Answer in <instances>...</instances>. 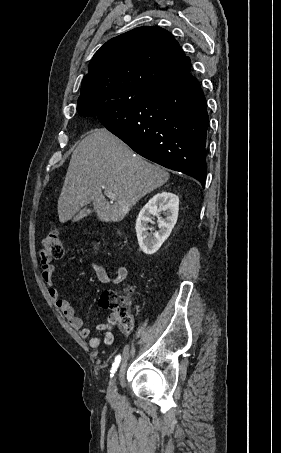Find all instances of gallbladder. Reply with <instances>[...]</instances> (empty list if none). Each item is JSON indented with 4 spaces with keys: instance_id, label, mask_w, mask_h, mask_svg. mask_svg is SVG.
<instances>
[{
    "instance_id": "gallbladder-1",
    "label": "gallbladder",
    "mask_w": 281,
    "mask_h": 453,
    "mask_svg": "<svg viewBox=\"0 0 281 453\" xmlns=\"http://www.w3.org/2000/svg\"><path fill=\"white\" fill-rule=\"evenodd\" d=\"M91 210L89 208H83V210H80L79 214H76L74 216V220H80V218H83V216H87V214H90Z\"/></svg>"
}]
</instances>
